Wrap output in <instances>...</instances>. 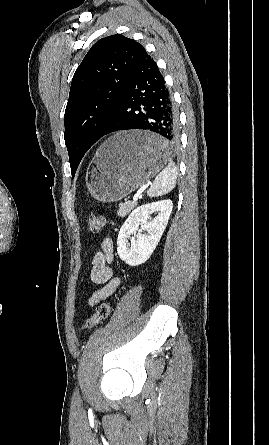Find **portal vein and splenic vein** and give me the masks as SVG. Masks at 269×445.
<instances>
[{
	"label": "portal vein and splenic vein",
	"mask_w": 269,
	"mask_h": 445,
	"mask_svg": "<svg viewBox=\"0 0 269 445\" xmlns=\"http://www.w3.org/2000/svg\"><path fill=\"white\" fill-rule=\"evenodd\" d=\"M148 187V185H143L138 191L137 193L133 196V201H137L139 196L144 192V190H146V188Z\"/></svg>",
	"instance_id": "portal-vein-and-splenic-vein-1"
}]
</instances>
